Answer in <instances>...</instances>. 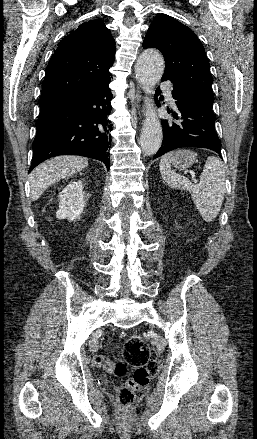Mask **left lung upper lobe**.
I'll use <instances>...</instances> for the list:
<instances>
[{
	"mask_svg": "<svg viewBox=\"0 0 257 439\" xmlns=\"http://www.w3.org/2000/svg\"><path fill=\"white\" fill-rule=\"evenodd\" d=\"M150 47L158 48L165 58L163 77L213 105L209 61L190 28L166 14H158L143 41V48Z\"/></svg>",
	"mask_w": 257,
	"mask_h": 439,
	"instance_id": "left-lung-upper-lobe-1",
	"label": "left lung upper lobe"
}]
</instances>
